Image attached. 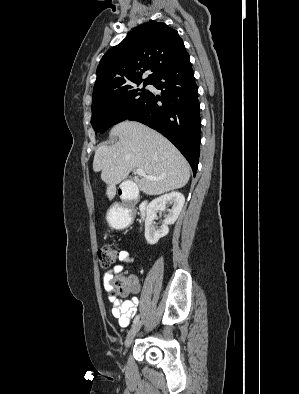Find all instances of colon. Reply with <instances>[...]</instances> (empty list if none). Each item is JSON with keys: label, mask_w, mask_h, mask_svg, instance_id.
Instances as JSON below:
<instances>
[{"label": "colon", "mask_w": 299, "mask_h": 394, "mask_svg": "<svg viewBox=\"0 0 299 394\" xmlns=\"http://www.w3.org/2000/svg\"><path fill=\"white\" fill-rule=\"evenodd\" d=\"M118 258L115 248L109 245H102L98 249V261L102 267L113 265ZM111 291L115 297H124L131 293L133 279L130 276L116 275L109 282Z\"/></svg>", "instance_id": "obj_1"}]
</instances>
